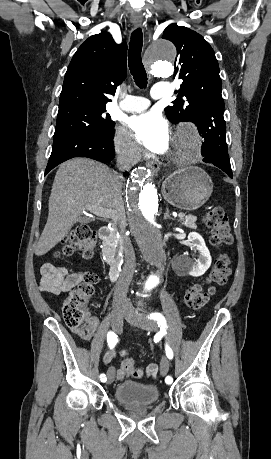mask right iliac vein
<instances>
[{"mask_svg":"<svg viewBox=\"0 0 271 459\" xmlns=\"http://www.w3.org/2000/svg\"><path fill=\"white\" fill-rule=\"evenodd\" d=\"M124 313H125V310L124 311L116 310L114 311L112 315V327L118 333L122 330V326L124 323V319H123ZM114 377H115V368L110 367L107 371V383L108 384L112 383L114 380Z\"/></svg>","mask_w":271,"mask_h":459,"instance_id":"right-iliac-vein-1","label":"right iliac vein"}]
</instances>
